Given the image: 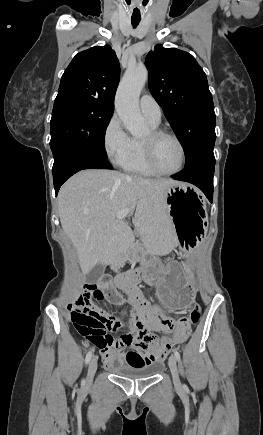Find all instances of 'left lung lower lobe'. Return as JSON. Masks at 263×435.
I'll return each mask as SVG.
<instances>
[{
	"label": "left lung lower lobe",
	"instance_id": "0a47b994",
	"mask_svg": "<svg viewBox=\"0 0 263 435\" xmlns=\"http://www.w3.org/2000/svg\"><path fill=\"white\" fill-rule=\"evenodd\" d=\"M215 158L213 149L201 152L191 161L185 164V170L172 178L186 181L200 188L210 202L213 201V176Z\"/></svg>",
	"mask_w": 263,
	"mask_h": 435
}]
</instances>
